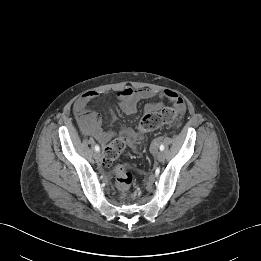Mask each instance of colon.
<instances>
[{
    "instance_id": "5ec220e1",
    "label": "colon",
    "mask_w": 261,
    "mask_h": 261,
    "mask_svg": "<svg viewBox=\"0 0 261 261\" xmlns=\"http://www.w3.org/2000/svg\"><path fill=\"white\" fill-rule=\"evenodd\" d=\"M183 121V113L180 110L164 108L157 111L146 112L140 121L139 131L130 138L118 137L105 149L102 159L103 168L112 166L117 157L126 149L128 143L139 144L142 134L161 128L165 125L180 127ZM133 175L125 165H119L115 169V185L119 192L127 193L133 184Z\"/></svg>"
}]
</instances>
